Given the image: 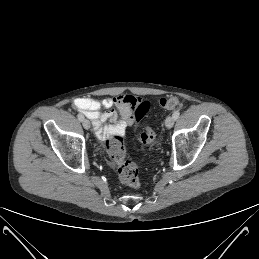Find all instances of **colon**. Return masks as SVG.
I'll return each instance as SVG.
<instances>
[{
	"mask_svg": "<svg viewBox=\"0 0 259 259\" xmlns=\"http://www.w3.org/2000/svg\"><path fill=\"white\" fill-rule=\"evenodd\" d=\"M181 104L178 96L169 95L158 100V105L162 109L172 110ZM151 106L149 101H142L134 110L135 122L139 123L147 114ZM155 132L146 123L143 124V131L138 136L140 143L149 145L155 140ZM106 150L110 163L115 167L121 183L132 188L140 187L139 170L137 165L126 158V150L123 138L119 134L112 135L106 142Z\"/></svg>",
	"mask_w": 259,
	"mask_h": 259,
	"instance_id": "1",
	"label": "colon"
}]
</instances>
